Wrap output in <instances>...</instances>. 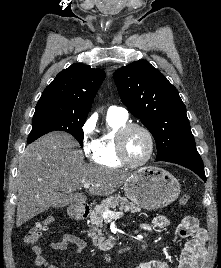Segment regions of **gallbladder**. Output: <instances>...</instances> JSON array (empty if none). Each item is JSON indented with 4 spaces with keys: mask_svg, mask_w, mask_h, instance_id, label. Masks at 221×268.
Instances as JSON below:
<instances>
[{
    "mask_svg": "<svg viewBox=\"0 0 221 268\" xmlns=\"http://www.w3.org/2000/svg\"><path fill=\"white\" fill-rule=\"evenodd\" d=\"M56 196L58 199H51V204H55L53 206L54 208L64 207V206L68 205V203L70 202L69 198L64 194L58 193Z\"/></svg>",
    "mask_w": 221,
    "mask_h": 268,
    "instance_id": "obj_1",
    "label": "gallbladder"
}]
</instances>
